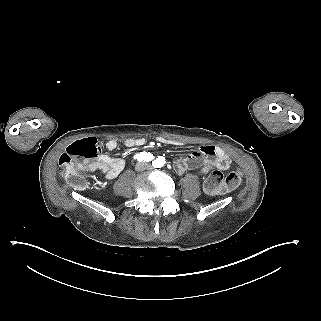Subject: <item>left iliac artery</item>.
Masks as SVG:
<instances>
[{
    "label": "left iliac artery",
    "instance_id": "1",
    "mask_svg": "<svg viewBox=\"0 0 321 321\" xmlns=\"http://www.w3.org/2000/svg\"><path fill=\"white\" fill-rule=\"evenodd\" d=\"M165 163V159L163 157H158L156 160L152 162V166L155 168L162 167Z\"/></svg>",
    "mask_w": 321,
    "mask_h": 321
}]
</instances>
